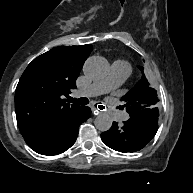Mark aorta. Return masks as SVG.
<instances>
[{"instance_id":"aorta-1","label":"aorta","mask_w":193,"mask_h":193,"mask_svg":"<svg viewBox=\"0 0 193 193\" xmlns=\"http://www.w3.org/2000/svg\"><path fill=\"white\" fill-rule=\"evenodd\" d=\"M108 70L107 61L101 57H90L84 64V73L93 79L103 78L107 75ZM94 125L97 130L105 132L111 128L112 119L108 114L102 113L95 118Z\"/></svg>"}]
</instances>
